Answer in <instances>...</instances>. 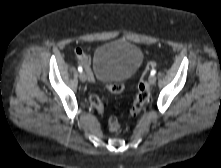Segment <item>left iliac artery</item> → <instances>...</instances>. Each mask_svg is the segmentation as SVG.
<instances>
[{
  "label": "left iliac artery",
  "instance_id": "44dca946",
  "mask_svg": "<svg viewBox=\"0 0 221 168\" xmlns=\"http://www.w3.org/2000/svg\"><path fill=\"white\" fill-rule=\"evenodd\" d=\"M150 74L151 75H155L156 74V70H152Z\"/></svg>",
  "mask_w": 221,
  "mask_h": 168
}]
</instances>
